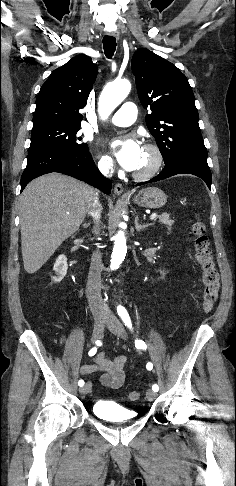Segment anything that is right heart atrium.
<instances>
[{
  "label": "right heart atrium",
  "instance_id": "right-heart-atrium-1",
  "mask_svg": "<svg viewBox=\"0 0 236 486\" xmlns=\"http://www.w3.org/2000/svg\"><path fill=\"white\" fill-rule=\"evenodd\" d=\"M97 167L103 174H110L114 169V164L109 156L97 154Z\"/></svg>",
  "mask_w": 236,
  "mask_h": 486
}]
</instances>
